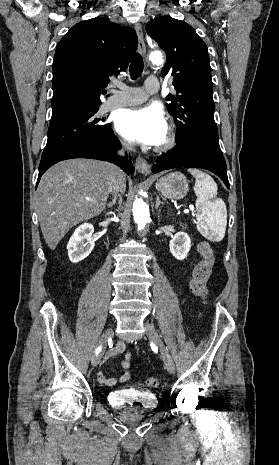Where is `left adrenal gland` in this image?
<instances>
[{"label":"left adrenal gland","instance_id":"a2214340","mask_svg":"<svg viewBox=\"0 0 279 465\" xmlns=\"http://www.w3.org/2000/svg\"><path fill=\"white\" fill-rule=\"evenodd\" d=\"M160 205H164V202L160 201L159 196L157 195L156 197V204H155V209L158 210Z\"/></svg>","mask_w":279,"mask_h":465}]
</instances>
